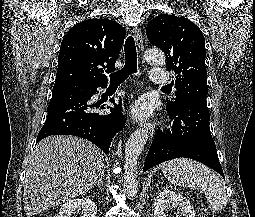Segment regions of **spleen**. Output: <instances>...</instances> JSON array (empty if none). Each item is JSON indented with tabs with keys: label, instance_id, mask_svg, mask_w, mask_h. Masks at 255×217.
Listing matches in <instances>:
<instances>
[{
	"label": "spleen",
	"instance_id": "3e777b00",
	"mask_svg": "<svg viewBox=\"0 0 255 217\" xmlns=\"http://www.w3.org/2000/svg\"><path fill=\"white\" fill-rule=\"evenodd\" d=\"M162 172L173 184L203 192L211 210L219 211L226 207L228 199L224 182L205 165L178 158L163 163Z\"/></svg>",
	"mask_w": 255,
	"mask_h": 217
}]
</instances>
